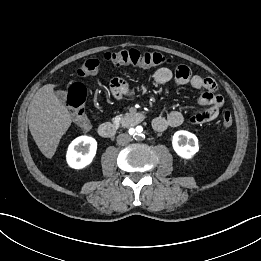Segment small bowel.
Masks as SVG:
<instances>
[{
  "mask_svg": "<svg viewBox=\"0 0 261 261\" xmlns=\"http://www.w3.org/2000/svg\"><path fill=\"white\" fill-rule=\"evenodd\" d=\"M153 80L157 84H166L174 81L177 85H189L195 90H202L203 93L198 99L203 111L190 116L189 121L193 124H201L213 121L219 115V109L223 105V98L217 94V84L210 78L192 74L185 65H179L173 73L169 68L162 67L155 71ZM111 91L116 98L127 96L131 93L128 85L122 79H114L111 82ZM184 122L183 115L178 111H171L166 116H158L153 122V128L163 132L168 128H175Z\"/></svg>",
  "mask_w": 261,
  "mask_h": 261,
  "instance_id": "c3829d8e",
  "label": "small bowel"
}]
</instances>
